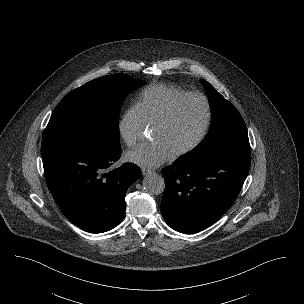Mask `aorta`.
Returning <instances> with one entry per match:
<instances>
[{"label":"aorta","instance_id":"1","mask_svg":"<svg viewBox=\"0 0 304 304\" xmlns=\"http://www.w3.org/2000/svg\"><path fill=\"white\" fill-rule=\"evenodd\" d=\"M143 187L149 194L158 195L163 193L165 189V182L161 175L151 173L144 177Z\"/></svg>","mask_w":304,"mask_h":304}]
</instances>
